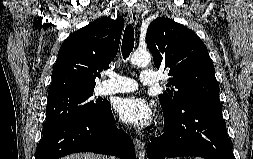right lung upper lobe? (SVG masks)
<instances>
[{
	"label": "right lung upper lobe",
	"instance_id": "right-lung-upper-lobe-1",
	"mask_svg": "<svg viewBox=\"0 0 253 159\" xmlns=\"http://www.w3.org/2000/svg\"><path fill=\"white\" fill-rule=\"evenodd\" d=\"M123 27L122 19L103 17L72 33L59 49L48 99L93 91L98 71L117 54Z\"/></svg>",
	"mask_w": 253,
	"mask_h": 159
}]
</instances>
